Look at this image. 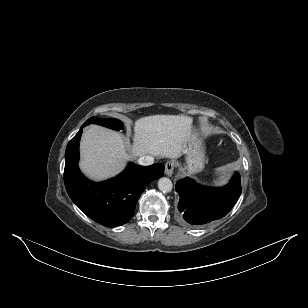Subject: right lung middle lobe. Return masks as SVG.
Listing matches in <instances>:
<instances>
[{
	"label": "right lung middle lobe",
	"mask_w": 308,
	"mask_h": 308,
	"mask_svg": "<svg viewBox=\"0 0 308 308\" xmlns=\"http://www.w3.org/2000/svg\"><path fill=\"white\" fill-rule=\"evenodd\" d=\"M90 123L99 124V125L114 129L116 131L124 129L123 123L120 120L115 119V118L103 119V118L91 117L83 125L86 126Z\"/></svg>",
	"instance_id": "dd1d6c3e"
}]
</instances>
